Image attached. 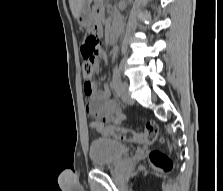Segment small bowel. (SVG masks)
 Wrapping results in <instances>:
<instances>
[{
	"label": "small bowel",
	"instance_id": "obj_1",
	"mask_svg": "<svg viewBox=\"0 0 223 191\" xmlns=\"http://www.w3.org/2000/svg\"><path fill=\"white\" fill-rule=\"evenodd\" d=\"M94 32L97 36H101V26L97 25ZM83 90L85 96L89 99L85 108L86 112L92 117V128L102 132L105 123L118 125L125 119L120 105L110 99V90L107 85H104L103 89L97 92L94 81L92 83L85 82Z\"/></svg>",
	"mask_w": 223,
	"mask_h": 191
}]
</instances>
